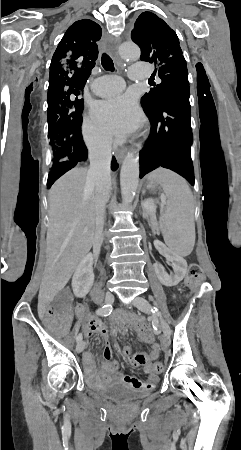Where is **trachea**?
<instances>
[{
	"instance_id": "obj_1",
	"label": "trachea",
	"mask_w": 241,
	"mask_h": 450,
	"mask_svg": "<svg viewBox=\"0 0 241 450\" xmlns=\"http://www.w3.org/2000/svg\"><path fill=\"white\" fill-rule=\"evenodd\" d=\"M101 63L104 70H108L110 72H113L115 70L113 60L109 57V55H107V53H103Z\"/></svg>"
}]
</instances>
